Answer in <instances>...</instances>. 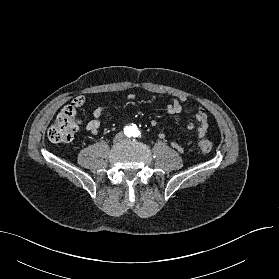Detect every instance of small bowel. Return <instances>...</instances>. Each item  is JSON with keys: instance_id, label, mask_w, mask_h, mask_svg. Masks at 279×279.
<instances>
[{"instance_id": "c3829d8e", "label": "small bowel", "mask_w": 279, "mask_h": 279, "mask_svg": "<svg viewBox=\"0 0 279 279\" xmlns=\"http://www.w3.org/2000/svg\"><path fill=\"white\" fill-rule=\"evenodd\" d=\"M128 99L134 100L135 95H129ZM185 101H186L185 97H179L174 99L170 104H168L167 112L169 114L180 113L183 109V103ZM105 108L106 107L104 105H100L94 110L93 119L86 124L87 131H89L92 134L99 133L101 128L100 118L103 115ZM195 118H196L195 121L188 125V130L193 131L199 138H202L206 135L208 129V116L203 107L199 106L196 109ZM156 124H157L156 121L151 122L152 126H156ZM171 146L177 149L179 152L184 151V148L177 143H171Z\"/></svg>"}]
</instances>
